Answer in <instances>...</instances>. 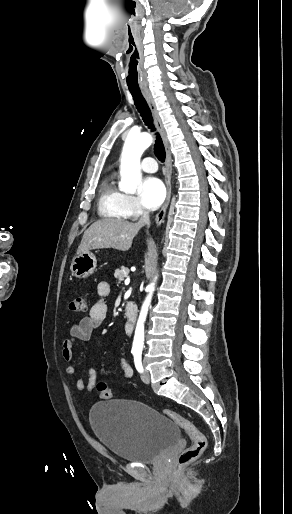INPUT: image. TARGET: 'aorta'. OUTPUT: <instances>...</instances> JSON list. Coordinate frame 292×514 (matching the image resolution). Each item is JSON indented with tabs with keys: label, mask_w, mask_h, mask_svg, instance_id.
I'll return each instance as SVG.
<instances>
[{
	"label": "aorta",
	"mask_w": 292,
	"mask_h": 514,
	"mask_svg": "<svg viewBox=\"0 0 292 514\" xmlns=\"http://www.w3.org/2000/svg\"><path fill=\"white\" fill-rule=\"evenodd\" d=\"M152 142V136L146 134V132H144V134H128V138L124 144L120 166V188L123 192H126V194H135L137 184H139L142 176L140 158L144 150L149 148ZM148 290L150 294L147 296L141 308L133 342V348H139V350H142L144 342V322L150 306L152 292H154V284H150Z\"/></svg>",
	"instance_id": "aorta-1"
}]
</instances>
